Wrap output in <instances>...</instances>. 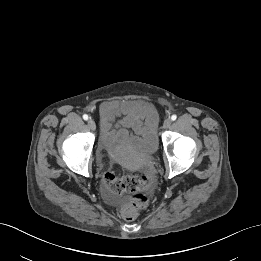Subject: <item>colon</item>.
<instances>
[{"instance_id":"5ec220e1","label":"colon","mask_w":261,"mask_h":261,"mask_svg":"<svg viewBox=\"0 0 261 261\" xmlns=\"http://www.w3.org/2000/svg\"><path fill=\"white\" fill-rule=\"evenodd\" d=\"M103 182L113 195H130L121 206V215L126 220H133L147 203V198L142 192L151 187L153 176L151 173L118 176L113 171H107L103 176Z\"/></svg>"}]
</instances>
